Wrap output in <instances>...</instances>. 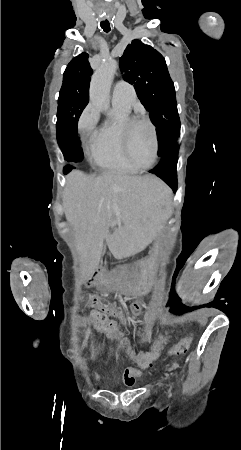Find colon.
I'll return each instance as SVG.
<instances>
[{"mask_svg":"<svg viewBox=\"0 0 241 450\" xmlns=\"http://www.w3.org/2000/svg\"><path fill=\"white\" fill-rule=\"evenodd\" d=\"M80 324L82 326H89L93 324L96 328H100V332L106 336H111V340L117 343L119 348H122L123 352L128 353L131 350L130 345H128V338L125 336L123 332L120 330H116L114 325L110 323H105V319L99 313H86L80 317ZM169 333V332H168ZM158 344H162L164 339L162 337H158L156 339ZM157 343H153L151 345V350H133L131 356L133 359H141V363L139 364V369L141 371H146L148 369V365L150 364V359H155L157 357L158 345ZM192 343L190 339L180 340L178 342L179 347H174L173 349L167 348L166 355L173 356V353L176 356L184 355L187 352V347ZM150 358V359H149Z\"/></svg>","mask_w":241,"mask_h":450,"instance_id":"1","label":"colon"}]
</instances>
